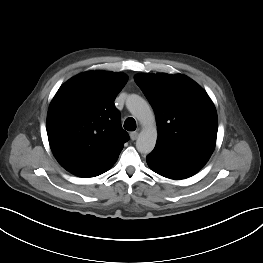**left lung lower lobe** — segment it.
<instances>
[{"instance_id":"1","label":"left lung lower lobe","mask_w":263,"mask_h":263,"mask_svg":"<svg viewBox=\"0 0 263 263\" xmlns=\"http://www.w3.org/2000/svg\"><path fill=\"white\" fill-rule=\"evenodd\" d=\"M210 156L205 153L171 151L155 147L146 160L154 172L178 180L196 174L207 163Z\"/></svg>"}]
</instances>
